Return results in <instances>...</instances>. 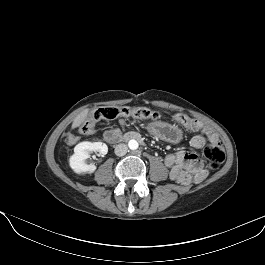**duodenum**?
<instances>
[{
    "label": "duodenum",
    "mask_w": 265,
    "mask_h": 265,
    "mask_svg": "<svg viewBox=\"0 0 265 265\" xmlns=\"http://www.w3.org/2000/svg\"><path fill=\"white\" fill-rule=\"evenodd\" d=\"M129 140H137V141H142V137L138 132H128L126 134H124L121 138H120V142H127Z\"/></svg>",
    "instance_id": "410a0bca"
}]
</instances>
